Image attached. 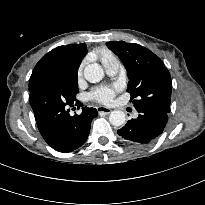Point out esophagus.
Returning a JSON list of instances; mask_svg holds the SVG:
<instances>
[{
    "instance_id": "obj_1",
    "label": "esophagus",
    "mask_w": 205,
    "mask_h": 205,
    "mask_svg": "<svg viewBox=\"0 0 205 205\" xmlns=\"http://www.w3.org/2000/svg\"><path fill=\"white\" fill-rule=\"evenodd\" d=\"M97 111H98V113L109 114L111 112V109L107 108V107H103V106H98Z\"/></svg>"
}]
</instances>
